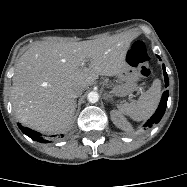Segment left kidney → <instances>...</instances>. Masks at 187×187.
Segmentation results:
<instances>
[{
  "mask_svg": "<svg viewBox=\"0 0 187 187\" xmlns=\"http://www.w3.org/2000/svg\"><path fill=\"white\" fill-rule=\"evenodd\" d=\"M111 120L112 122L120 129L122 130H129L130 129V124L127 122V120L123 117V115L116 111L113 110L110 113Z\"/></svg>",
  "mask_w": 187,
  "mask_h": 187,
  "instance_id": "1",
  "label": "left kidney"
}]
</instances>
